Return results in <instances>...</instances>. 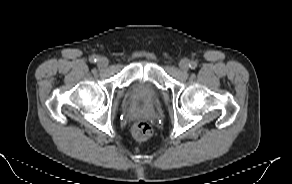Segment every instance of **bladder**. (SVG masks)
Segmentation results:
<instances>
[{
  "label": "bladder",
  "mask_w": 292,
  "mask_h": 184,
  "mask_svg": "<svg viewBox=\"0 0 292 184\" xmlns=\"http://www.w3.org/2000/svg\"><path fill=\"white\" fill-rule=\"evenodd\" d=\"M128 98L133 102L151 105L160 97V90L149 80L138 79L127 88Z\"/></svg>",
  "instance_id": "bladder-1"
}]
</instances>
